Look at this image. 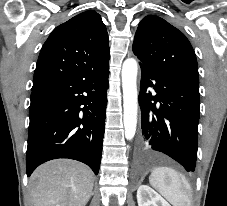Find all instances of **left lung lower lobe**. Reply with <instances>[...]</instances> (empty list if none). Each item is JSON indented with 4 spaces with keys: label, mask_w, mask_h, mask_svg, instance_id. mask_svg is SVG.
<instances>
[{
    "label": "left lung lower lobe",
    "mask_w": 227,
    "mask_h": 206,
    "mask_svg": "<svg viewBox=\"0 0 227 206\" xmlns=\"http://www.w3.org/2000/svg\"><path fill=\"white\" fill-rule=\"evenodd\" d=\"M140 66L143 149L162 152L193 172L200 113L198 82Z\"/></svg>",
    "instance_id": "0a47b994"
}]
</instances>
